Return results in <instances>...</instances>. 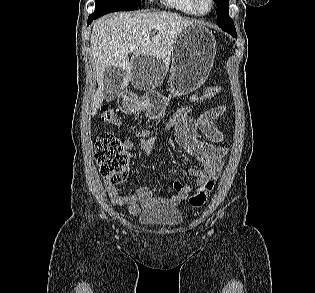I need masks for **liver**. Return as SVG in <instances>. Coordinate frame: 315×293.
<instances>
[{"label": "liver", "instance_id": "obj_1", "mask_svg": "<svg viewBox=\"0 0 315 293\" xmlns=\"http://www.w3.org/2000/svg\"><path fill=\"white\" fill-rule=\"evenodd\" d=\"M193 24L196 21L176 13L147 11L110 14L97 20L92 29L91 47L98 89L93 96L91 115L94 116L103 103V73L108 67L125 71L121 89L131 81L130 52L133 57L150 55L168 67L179 33ZM153 32L156 35H152ZM131 46L135 49L130 50Z\"/></svg>", "mask_w": 315, "mask_h": 293}]
</instances>
